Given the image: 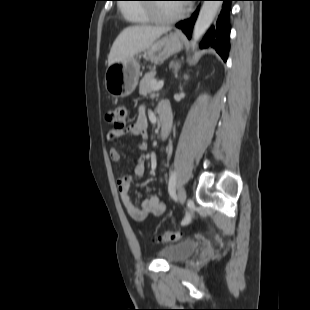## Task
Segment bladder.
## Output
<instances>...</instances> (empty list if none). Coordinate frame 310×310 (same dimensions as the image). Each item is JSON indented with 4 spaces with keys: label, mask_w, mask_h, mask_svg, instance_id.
<instances>
[{
    "label": "bladder",
    "mask_w": 310,
    "mask_h": 310,
    "mask_svg": "<svg viewBox=\"0 0 310 310\" xmlns=\"http://www.w3.org/2000/svg\"><path fill=\"white\" fill-rule=\"evenodd\" d=\"M196 248L197 244L195 241L186 240L161 248L159 256L168 262L177 263L190 257Z\"/></svg>",
    "instance_id": "obj_1"
}]
</instances>
